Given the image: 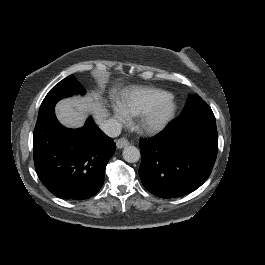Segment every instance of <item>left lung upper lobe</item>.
<instances>
[{
    "instance_id": "1",
    "label": "left lung upper lobe",
    "mask_w": 265,
    "mask_h": 265,
    "mask_svg": "<svg viewBox=\"0 0 265 265\" xmlns=\"http://www.w3.org/2000/svg\"><path fill=\"white\" fill-rule=\"evenodd\" d=\"M207 104L205 101L197 94L190 95L187 99L186 105L184 109L182 110L181 114H186L191 111L197 110L199 108H202L206 106Z\"/></svg>"
}]
</instances>
